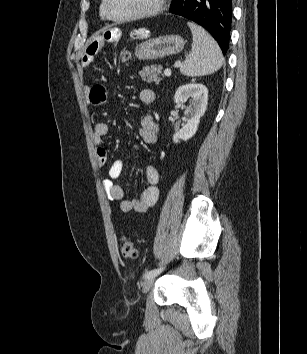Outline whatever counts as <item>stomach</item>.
<instances>
[{
  "instance_id": "1",
  "label": "stomach",
  "mask_w": 307,
  "mask_h": 354,
  "mask_svg": "<svg viewBox=\"0 0 307 354\" xmlns=\"http://www.w3.org/2000/svg\"><path fill=\"white\" fill-rule=\"evenodd\" d=\"M133 37L144 38L149 35L145 28L134 30ZM185 45L184 39L175 34L163 35L157 38L148 39L138 45L135 55L140 60H156L170 55L180 53Z\"/></svg>"
}]
</instances>
